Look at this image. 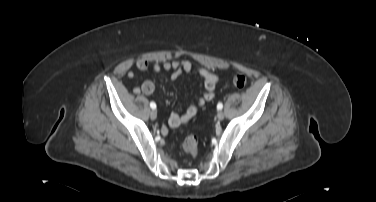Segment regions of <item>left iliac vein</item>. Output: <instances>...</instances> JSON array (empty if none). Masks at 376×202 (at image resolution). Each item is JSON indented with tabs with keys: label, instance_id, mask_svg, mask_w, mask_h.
I'll return each mask as SVG.
<instances>
[{
	"label": "left iliac vein",
	"instance_id": "4c4485c4",
	"mask_svg": "<svg viewBox=\"0 0 376 202\" xmlns=\"http://www.w3.org/2000/svg\"><path fill=\"white\" fill-rule=\"evenodd\" d=\"M217 118H218V120H223L224 119V113H223V111H218V113H217Z\"/></svg>",
	"mask_w": 376,
	"mask_h": 202
}]
</instances>
